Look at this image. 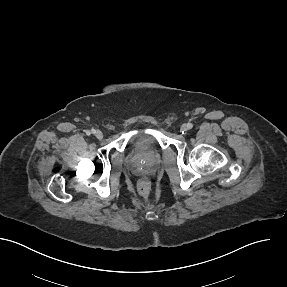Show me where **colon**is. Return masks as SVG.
Segmentation results:
<instances>
[{"instance_id": "obj_1", "label": "colon", "mask_w": 287, "mask_h": 287, "mask_svg": "<svg viewBox=\"0 0 287 287\" xmlns=\"http://www.w3.org/2000/svg\"><path fill=\"white\" fill-rule=\"evenodd\" d=\"M151 184L148 178L142 177L137 184V191L141 196H147L150 192Z\"/></svg>"}]
</instances>
